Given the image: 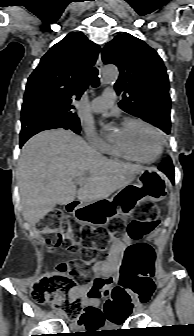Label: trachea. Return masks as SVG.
Returning <instances> with one entry per match:
<instances>
[{"mask_svg":"<svg viewBox=\"0 0 194 336\" xmlns=\"http://www.w3.org/2000/svg\"><path fill=\"white\" fill-rule=\"evenodd\" d=\"M88 78L90 80V83L93 87L99 86V77H98V70L93 67L88 72Z\"/></svg>","mask_w":194,"mask_h":336,"instance_id":"3493384b","label":"trachea"}]
</instances>
